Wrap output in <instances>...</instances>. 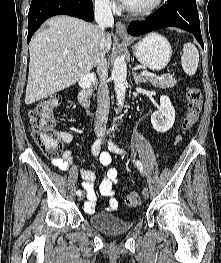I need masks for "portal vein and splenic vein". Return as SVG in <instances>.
I'll use <instances>...</instances> for the list:
<instances>
[{
    "label": "portal vein and splenic vein",
    "instance_id": "1",
    "mask_svg": "<svg viewBox=\"0 0 221 263\" xmlns=\"http://www.w3.org/2000/svg\"><path fill=\"white\" fill-rule=\"evenodd\" d=\"M79 66H81L82 64H78ZM141 75H144V76H152V77H156L157 75L153 74V73H150V72H147V71H142L141 72Z\"/></svg>",
    "mask_w": 221,
    "mask_h": 263
}]
</instances>
